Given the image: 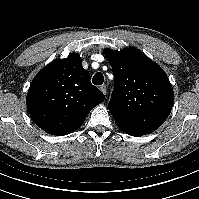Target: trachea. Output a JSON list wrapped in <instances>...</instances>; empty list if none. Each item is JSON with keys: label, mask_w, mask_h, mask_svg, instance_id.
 <instances>
[{"label": "trachea", "mask_w": 199, "mask_h": 199, "mask_svg": "<svg viewBox=\"0 0 199 199\" xmlns=\"http://www.w3.org/2000/svg\"><path fill=\"white\" fill-rule=\"evenodd\" d=\"M104 82V77L102 73H96L92 78V83L94 85H102Z\"/></svg>", "instance_id": "1"}]
</instances>
